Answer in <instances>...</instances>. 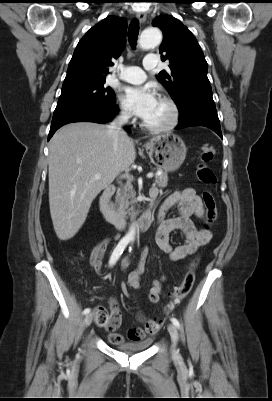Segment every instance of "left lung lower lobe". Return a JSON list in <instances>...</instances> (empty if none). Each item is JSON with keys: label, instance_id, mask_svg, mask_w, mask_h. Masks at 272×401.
<instances>
[{"label": "left lung lower lobe", "instance_id": "obj_1", "mask_svg": "<svg viewBox=\"0 0 272 401\" xmlns=\"http://www.w3.org/2000/svg\"><path fill=\"white\" fill-rule=\"evenodd\" d=\"M179 112V125L176 129L189 126H205L215 131L223 139L214 103H193Z\"/></svg>", "mask_w": 272, "mask_h": 401}]
</instances>
